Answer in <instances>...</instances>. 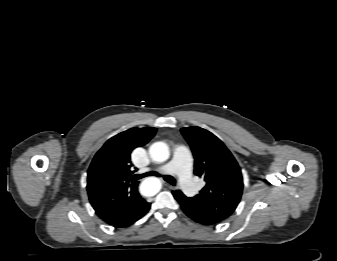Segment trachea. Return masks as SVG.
<instances>
[{
	"mask_svg": "<svg viewBox=\"0 0 337 261\" xmlns=\"http://www.w3.org/2000/svg\"><path fill=\"white\" fill-rule=\"evenodd\" d=\"M154 175L158 176V174L155 173V172H148V173H144V174H140V175H134L133 178L135 180H137V179H141V178H144V177H147V176H154ZM164 179H165L166 182H168L171 185L176 184L175 179L171 176H165Z\"/></svg>",
	"mask_w": 337,
	"mask_h": 261,
	"instance_id": "trachea-1",
	"label": "trachea"
}]
</instances>
